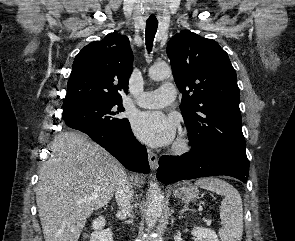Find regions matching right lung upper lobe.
Here are the masks:
<instances>
[{"label":"right lung upper lobe","mask_w":295,"mask_h":241,"mask_svg":"<svg viewBox=\"0 0 295 241\" xmlns=\"http://www.w3.org/2000/svg\"><path fill=\"white\" fill-rule=\"evenodd\" d=\"M133 54L125 35L109 33L75 57L63 111L90 103L122 102L128 91Z\"/></svg>","instance_id":"right-lung-upper-lobe-1"}]
</instances>
